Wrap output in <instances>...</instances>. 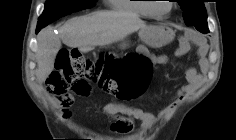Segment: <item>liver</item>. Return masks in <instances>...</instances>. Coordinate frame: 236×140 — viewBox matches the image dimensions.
Segmentation results:
<instances>
[{
	"mask_svg": "<svg viewBox=\"0 0 236 140\" xmlns=\"http://www.w3.org/2000/svg\"><path fill=\"white\" fill-rule=\"evenodd\" d=\"M146 28L137 15L115 11H98L74 17L59 29L58 35L52 28H45L37 36V79L43 83L53 71L61 41L70 47L88 51L91 47L109 45Z\"/></svg>",
	"mask_w": 236,
	"mask_h": 140,
	"instance_id": "6515ba94",
	"label": "liver"
}]
</instances>
